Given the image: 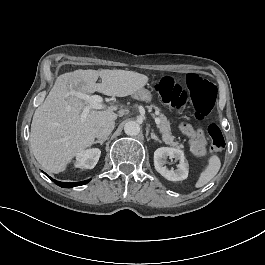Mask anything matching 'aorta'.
<instances>
[{
    "label": "aorta",
    "mask_w": 265,
    "mask_h": 265,
    "mask_svg": "<svg viewBox=\"0 0 265 265\" xmlns=\"http://www.w3.org/2000/svg\"><path fill=\"white\" fill-rule=\"evenodd\" d=\"M124 131L129 136H136L140 132V125L136 121H128L124 125Z\"/></svg>",
    "instance_id": "1"
}]
</instances>
